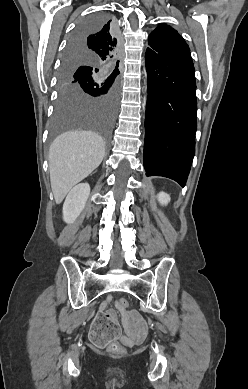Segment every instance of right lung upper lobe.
Wrapping results in <instances>:
<instances>
[{"label":"right lung upper lobe","instance_id":"cb5924a9","mask_svg":"<svg viewBox=\"0 0 248 389\" xmlns=\"http://www.w3.org/2000/svg\"><path fill=\"white\" fill-rule=\"evenodd\" d=\"M111 21L105 23L98 31L81 38L75 51L88 56V60L109 67L113 75H118L120 41L113 31ZM75 44V43H73ZM72 44V45H73Z\"/></svg>","mask_w":248,"mask_h":389}]
</instances>
